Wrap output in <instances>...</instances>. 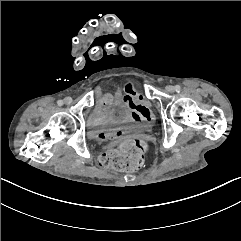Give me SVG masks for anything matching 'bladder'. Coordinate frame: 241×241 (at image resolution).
<instances>
[{"mask_svg":"<svg viewBox=\"0 0 241 241\" xmlns=\"http://www.w3.org/2000/svg\"><path fill=\"white\" fill-rule=\"evenodd\" d=\"M106 119L111 124L126 123L130 119V109L123 99H117L114 106L106 114Z\"/></svg>","mask_w":241,"mask_h":241,"instance_id":"31cf9c89","label":"bladder"}]
</instances>
